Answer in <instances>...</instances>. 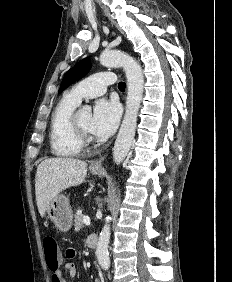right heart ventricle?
Here are the masks:
<instances>
[{
	"instance_id": "right-heart-ventricle-1",
	"label": "right heart ventricle",
	"mask_w": 232,
	"mask_h": 282,
	"mask_svg": "<svg viewBox=\"0 0 232 282\" xmlns=\"http://www.w3.org/2000/svg\"><path fill=\"white\" fill-rule=\"evenodd\" d=\"M79 103L66 93L52 111L49 143L52 154L57 157H72L79 154L82 149V144L76 139L70 122L71 115Z\"/></svg>"
}]
</instances>
